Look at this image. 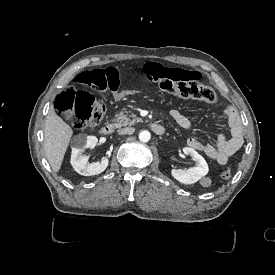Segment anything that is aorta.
<instances>
[{
    "label": "aorta",
    "mask_w": 275,
    "mask_h": 275,
    "mask_svg": "<svg viewBox=\"0 0 275 275\" xmlns=\"http://www.w3.org/2000/svg\"><path fill=\"white\" fill-rule=\"evenodd\" d=\"M138 137L141 142L146 143L151 139V134L149 131L143 130L139 133Z\"/></svg>",
    "instance_id": "obj_1"
}]
</instances>
